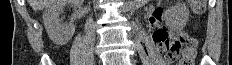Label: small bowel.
Here are the masks:
<instances>
[{
  "instance_id": "small-bowel-1",
  "label": "small bowel",
  "mask_w": 232,
  "mask_h": 65,
  "mask_svg": "<svg viewBox=\"0 0 232 65\" xmlns=\"http://www.w3.org/2000/svg\"><path fill=\"white\" fill-rule=\"evenodd\" d=\"M148 24L152 29L153 41L160 45L163 39L158 36L165 38L170 34V31L162 24V13L160 10H155L149 15Z\"/></svg>"
}]
</instances>
